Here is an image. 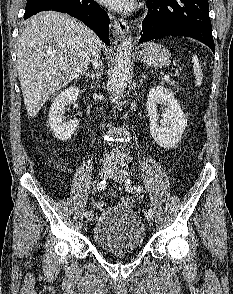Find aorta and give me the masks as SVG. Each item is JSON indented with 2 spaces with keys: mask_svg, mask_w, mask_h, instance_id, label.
Segmentation results:
<instances>
[{
  "mask_svg": "<svg viewBox=\"0 0 233 294\" xmlns=\"http://www.w3.org/2000/svg\"><path fill=\"white\" fill-rule=\"evenodd\" d=\"M132 41V36L125 38L115 54L111 79L112 99L114 102L121 98L130 76Z\"/></svg>",
  "mask_w": 233,
  "mask_h": 294,
  "instance_id": "1",
  "label": "aorta"
}]
</instances>
